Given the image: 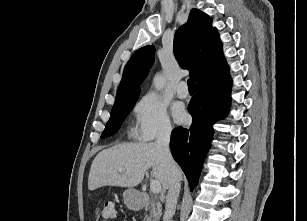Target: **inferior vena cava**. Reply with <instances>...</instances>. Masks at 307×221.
<instances>
[{
	"label": "inferior vena cava",
	"instance_id": "1",
	"mask_svg": "<svg viewBox=\"0 0 307 221\" xmlns=\"http://www.w3.org/2000/svg\"><path fill=\"white\" fill-rule=\"evenodd\" d=\"M171 130H172L171 126L164 125L159 131V134L156 140V145L164 154V157H165V160H166V163L169 169L171 171H174L175 162L172 158V155L169 149ZM180 188H181L180 181L174 176L172 179L171 185L169 187V190L167 192V195H166L165 213L163 217L164 221H170V219L175 214L176 202L179 196Z\"/></svg>",
	"mask_w": 307,
	"mask_h": 221
}]
</instances>
